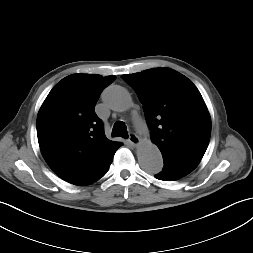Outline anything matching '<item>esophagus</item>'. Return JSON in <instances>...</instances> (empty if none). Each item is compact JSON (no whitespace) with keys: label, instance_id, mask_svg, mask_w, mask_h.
I'll use <instances>...</instances> for the list:
<instances>
[{"label":"esophagus","instance_id":"34e87169","mask_svg":"<svg viewBox=\"0 0 253 253\" xmlns=\"http://www.w3.org/2000/svg\"><path fill=\"white\" fill-rule=\"evenodd\" d=\"M128 141L133 146H137L140 144V139L135 133H130Z\"/></svg>","mask_w":253,"mask_h":253}]
</instances>
